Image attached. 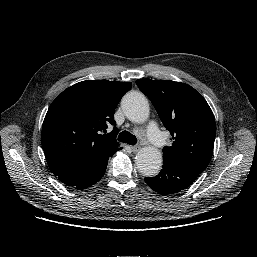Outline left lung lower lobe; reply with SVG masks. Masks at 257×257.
I'll list each match as a JSON object with an SVG mask.
<instances>
[{"label": "left lung lower lobe", "instance_id": "1", "mask_svg": "<svg viewBox=\"0 0 257 257\" xmlns=\"http://www.w3.org/2000/svg\"><path fill=\"white\" fill-rule=\"evenodd\" d=\"M199 176L193 169L178 162L163 158V167L155 177H145V182L154 191L163 194L177 193L191 185Z\"/></svg>", "mask_w": 257, "mask_h": 257}]
</instances>
